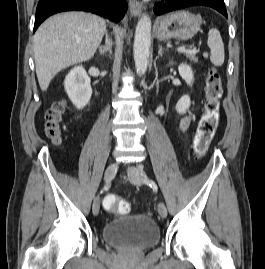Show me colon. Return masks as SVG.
<instances>
[{
	"instance_id": "colon-1",
	"label": "colon",
	"mask_w": 265,
	"mask_h": 269,
	"mask_svg": "<svg viewBox=\"0 0 265 269\" xmlns=\"http://www.w3.org/2000/svg\"><path fill=\"white\" fill-rule=\"evenodd\" d=\"M222 95V80L218 71L211 68L207 72L205 99L203 113L198 123L197 131L193 141V149L197 156H202L208 150L219 123V101ZM65 103L56 102L46 112L45 132L54 142L61 139L64 127ZM104 208L112 213H127L130 209L129 203L118 195H107L104 198Z\"/></svg>"
}]
</instances>
